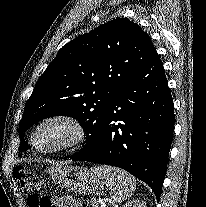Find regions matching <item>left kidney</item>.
Masks as SVG:
<instances>
[{"label":"left kidney","mask_w":206,"mask_h":207,"mask_svg":"<svg viewBox=\"0 0 206 207\" xmlns=\"http://www.w3.org/2000/svg\"><path fill=\"white\" fill-rule=\"evenodd\" d=\"M122 207H146V204L143 200H132L124 204Z\"/></svg>","instance_id":"1"}]
</instances>
